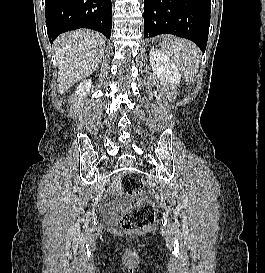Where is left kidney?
<instances>
[{"label":"left kidney","mask_w":265,"mask_h":273,"mask_svg":"<svg viewBox=\"0 0 265 273\" xmlns=\"http://www.w3.org/2000/svg\"><path fill=\"white\" fill-rule=\"evenodd\" d=\"M150 64L152 70L157 77L163 82L171 84H179L181 74L173 61L159 49H151Z\"/></svg>","instance_id":"left-kidney-1"}]
</instances>
